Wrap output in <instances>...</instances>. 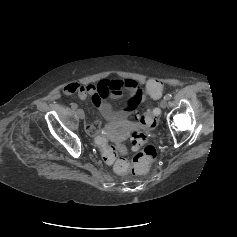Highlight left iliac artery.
I'll return each instance as SVG.
<instances>
[{"label": "left iliac artery", "instance_id": "obj_1", "mask_svg": "<svg viewBox=\"0 0 237 237\" xmlns=\"http://www.w3.org/2000/svg\"><path fill=\"white\" fill-rule=\"evenodd\" d=\"M171 97H172V95H171V94H166L164 98H165V99H167V100H170V99H171Z\"/></svg>", "mask_w": 237, "mask_h": 237}]
</instances>
